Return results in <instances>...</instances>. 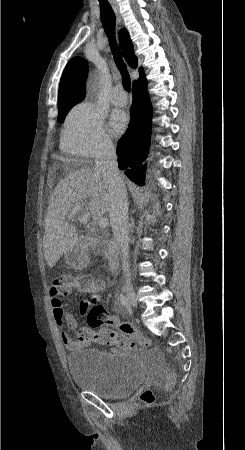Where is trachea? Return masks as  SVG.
<instances>
[{
    "label": "trachea",
    "instance_id": "obj_1",
    "mask_svg": "<svg viewBox=\"0 0 245 450\" xmlns=\"http://www.w3.org/2000/svg\"><path fill=\"white\" fill-rule=\"evenodd\" d=\"M99 4H100L101 22L105 30V33L108 37L114 60L116 62L118 70L121 73L123 86L126 89V91L130 92L131 90L130 76L127 72L126 66L118 50L115 39V14L108 1L99 0Z\"/></svg>",
    "mask_w": 245,
    "mask_h": 450
}]
</instances>
